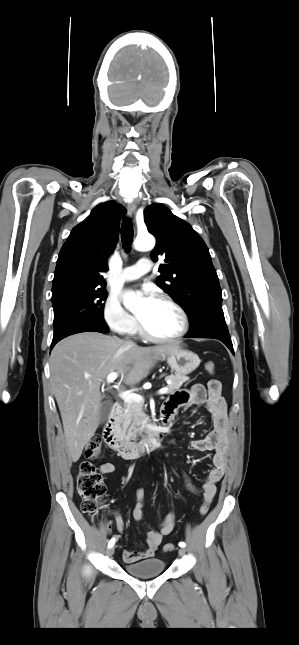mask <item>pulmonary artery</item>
I'll return each instance as SVG.
<instances>
[{"mask_svg":"<svg viewBox=\"0 0 299 645\" xmlns=\"http://www.w3.org/2000/svg\"><path fill=\"white\" fill-rule=\"evenodd\" d=\"M152 268V263L148 259H140L135 265L126 267L121 273V280L124 282L139 279L148 273Z\"/></svg>","mask_w":299,"mask_h":645,"instance_id":"1","label":"pulmonary artery"}]
</instances>
